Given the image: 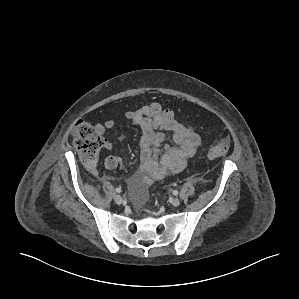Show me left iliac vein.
I'll return each mask as SVG.
<instances>
[{"label":"left iliac vein","instance_id":"1","mask_svg":"<svg viewBox=\"0 0 299 299\" xmlns=\"http://www.w3.org/2000/svg\"><path fill=\"white\" fill-rule=\"evenodd\" d=\"M171 204L175 207L179 206L180 205V200L178 198H173L171 200Z\"/></svg>","mask_w":299,"mask_h":299}]
</instances>
